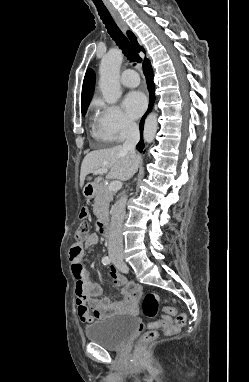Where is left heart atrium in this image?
<instances>
[{
	"label": "left heart atrium",
	"instance_id": "39dd6f15",
	"mask_svg": "<svg viewBox=\"0 0 249 382\" xmlns=\"http://www.w3.org/2000/svg\"><path fill=\"white\" fill-rule=\"evenodd\" d=\"M123 105L130 117L137 118L146 109L147 100L142 92L132 91L125 97Z\"/></svg>",
	"mask_w": 249,
	"mask_h": 382
}]
</instances>
